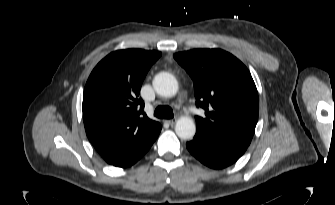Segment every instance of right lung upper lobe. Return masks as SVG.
Masks as SVG:
<instances>
[{
  "label": "right lung upper lobe",
  "instance_id": "cb5924a9",
  "mask_svg": "<svg viewBox=\"0 0 335 205\" xmlns=\"http://www.w3.org/2000/svg\"><path fill=\"white\" fill-rule=\"evenodd\" d=\"M159 51L118 50L101 60L83 94L87 137L109 164L119 166L141 158L161 131L144 113L142 82Z\"/></svg>",
  "mask_w": 335,
  "mask_h": 205
}]
</instances>
